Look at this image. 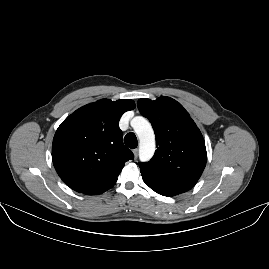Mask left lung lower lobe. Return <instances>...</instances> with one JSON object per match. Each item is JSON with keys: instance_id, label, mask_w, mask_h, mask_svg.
<instances>
[{"instance_id": "0a47b994", "label": "left lung lower lobe", "mask_w": 269, "mask_h": 269, "mask_svg": "<svg viewBox=\"0 0 269 269\" xmlns=\"http://www.w3.org/2000/svg\"><path fill=\"white\" fill-rule=\"evenodd\" d=\"M143 181L155 192L163 196H175L190 190L194 185L173 181H165L142 174Z\"/></svg>"}]
</instances>
